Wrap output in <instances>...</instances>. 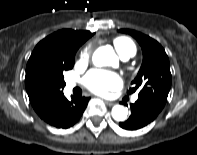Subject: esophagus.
<instances>
[{
    "label": "esophagus",
    "mask_w": 197,
    "mask_h": 155,
    "mask_svg": "<svg viewBox=\"0 0 197 155\" xmlns=\"http://www.w3.org/2000/svg\"><path fill=\"white\" fill-rule=\"evenodd\" d=\"M105 103H106V105H108V106H113V105H114V102L108 101V100H105Z\"/></svg>",
    "instance_id": "obj_1"
}]
</instances>
